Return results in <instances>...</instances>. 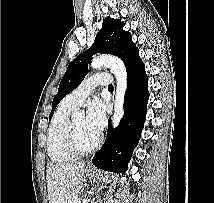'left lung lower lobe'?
Listing matches in <instances>:
<instances>
[{
    "label": "left lung lower lobe",
    "instance_id": "obj_1",
    "mask_svg": "<svg viewBox=\"0 0 214 203\" xmlns=\"http://www.w3.org/2000/svg\"><path fill=\"white\" fill-rule=\"evenodd\" d=\"M126 71L127 91L123 118L115 130L108 124L105 143L92 157L96 167L116 173H124L128 168V162L141 136L149 99L148 78L139 51L127 64Z\"/></svg>",
    "mask_w": 214,
    "mask_h": 203
}]
</instances>
